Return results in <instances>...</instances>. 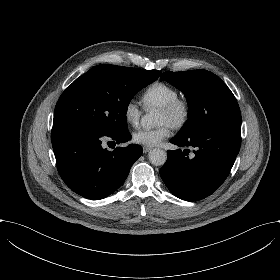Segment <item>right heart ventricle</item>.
I'll return each instance as SVG.
<instances>
[{"label": "right heart ventricle", "instance_id": "e07e8e85", "mask_svg": "<svg viewBox=\"0 0 280 280\" xmlns=\"http://www.w3.org/2000/svg\"><path fill=\"white\" fill-rule=\"evenodd\" d=\"M180 96L179 91L164 82H154L147 86L141 94L142 102L146 108L160 106Z\"/></svg>", "mask_w": 280, "mask_h": 280}]
</instances>
